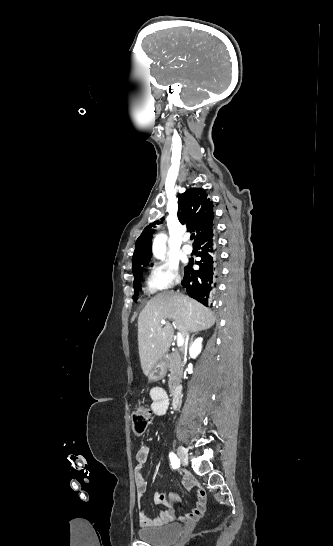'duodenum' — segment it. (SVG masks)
Instances as JSON below:
<instances>
[{
  "label": "duodenum",
  "mask_w": 333,
  "mask_h": 546,
  "mask_svg": "<svg viewBox=\"0 0 333 546\" xmlns=\"http://www.w3.org/2000/svg\"><path fill=\"white\" fill-rule=\"evenodd\" d=\"M181 398H182L181 388L174 389V391L172 393V405L174 407H178V405L180 404Z\"/></svg>",
  "instance_id": "duodenum-1"
}]
</instances>
